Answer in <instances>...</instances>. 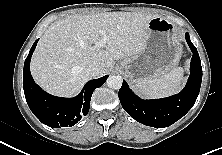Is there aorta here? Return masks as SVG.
<instances>
[{
    "mask_svg": "<svg viewBox=\"0 0 222 155\" xmlns=\"http://www.w3.org/2000/svg\"><path fill=\"white\" fill-rule=\"evenodd\" d=\"M106 83L110 89L118 90L122 86V78L115 75L109 76Z\"/></svg>",
    "mask_w": 222,
    "mask_h": 155,
    "instance_id": "obj_1",
    "label": "aorta"
}]
</instances>
